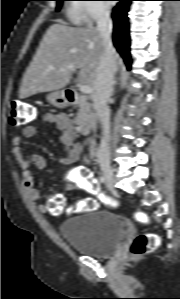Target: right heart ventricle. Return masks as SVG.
<instances>
[{"label": "right heart ventricle", "mask_w": 180, "mask_h": 299, "mask_svg": "<svg viewBox=\"0 0 180 299\" xmlns=\"http://www.w3.org/2000/svg\"><path fill=\"white\" fill-rule=\"evenodd\" d=\"M70 17H71V19H72L74 22H76V23L80 22V18H79L78 15L75 13V11L70 12Z\"/></svg>", "instance_id": "obj_1"}]
</instances>
